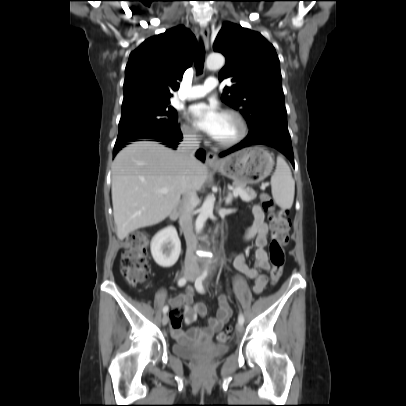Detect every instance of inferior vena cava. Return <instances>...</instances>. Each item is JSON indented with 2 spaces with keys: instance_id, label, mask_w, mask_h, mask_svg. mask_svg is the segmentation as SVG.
I'll list each match as a JSON object with an SVG mask.
<instances>
[{
  "instance_id": "1",
  "label": "inferior vena cava",
  "mask_w": 406,
  "mask_h": 406,
  "mask_svg": "<svg viewBox=\"0 0 406 406\" xmlns=\"http://www.w3.org/2000/svg\"><path fill=\"white\" fill-rule=\"evenodd\" d=\"M199 138L194 133H186L183 136V141L178 146V153L191 167L197 162L195 152L199 148ZM198 202L196 191L191 190L182 199V208L180 214V226L184 232L187 251L185 257L186 268H197L198 258L195 254L197 249V240L193 232L192 216L193 210Z\"/></svg>"
}]
</instances>
